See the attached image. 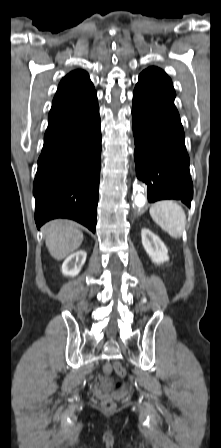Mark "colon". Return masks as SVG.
Instances as JSON below:
<instances>
[{"label":"colon","instance_id":"colon-1","mask_svg":"<svg viewBox=\"0 0 221 448\" xmlns=\"http://www.w3.org/2000/svg\"><path fill=\"white\" fill-rule=\"evenodd\" d=\"M115 371L120 377H124L126 375L125 369L121 366L120 363L115 362L113 364L111 363H105L103 366V373L105 375H110L112 372ZM123 387V383L121 380H116L114 383V388L116 390H120ZM102 407L107 412H113L116 408V404L112 399H107L103 402Z\"/></svg>","mask_w":221,"mask_h":448}]
</instances>
